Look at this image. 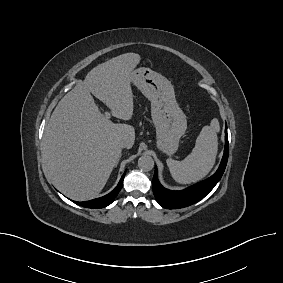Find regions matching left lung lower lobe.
Returning <instances> with one entry per match:
<instances>
[{"label":"left lung lower lobe","instance_id":"obj_1","mask_svg":"<svg viewBox=\"0 0 283 283\" xmlns=\"http://www.w3.org/2000/svg\"><path fill=\"white\" fill-rule=\"evenodd\" d=\"M229 143L227 136V125L225 124V149L218 170L208 179L190 186L181 191L165 189L158 181L157 168L153 177V192L157 202L167 209H179L190 206L203 199L219 182L227 165Z\"/></svg>","mask_w":283,"mask_h":283}]
</instances>
